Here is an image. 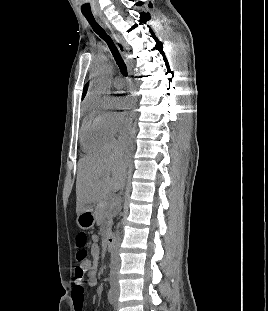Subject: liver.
I'll use <instances>...</instances> for the list:
<instances>
[{
    "instance_id": "liver-1",
    "label": "liver",
    "mask_w": 268,
    "mask_h": 311,
    "mask_svg": "<svg viewBox=\"0 0 268 311\" xmlns=\"http://www.w3.org/2000/svg\"><path fill=\"white\" fill-rule=\"evenodd\" d=\"M126 154L119 145L82 158L76 180V213L98 203L110 192L123 189L126 178Z\"/></svg>"
}]
</instances>
